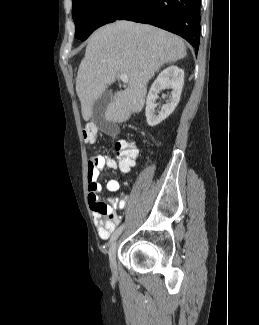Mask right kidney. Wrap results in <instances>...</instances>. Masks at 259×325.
I'll use <instances>...</instances> for the list:
<instances>
[{
    "mask_svg": "<svg viewBox=\"0 0 259 325\" xmlns=\"http://www.w3.org/2000/svg\"><path fill=\"white\" fill-rule=\"evenodd\" d=\"M184 84V71L175 65H171L161 71L153 82L146 99L145 115L149 126L154 127L165 120L176 108ZM171 88L169 101L164 104L158 115L155 114L158 93L162 89Z\"/></svg>",
    "mask_w": 259,
    "mask_h": 325,
    "instance_id": "1",
    "label": "right kidney"
}]
</instances>
